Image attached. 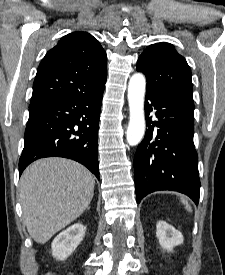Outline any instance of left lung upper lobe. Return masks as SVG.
I'll list each match as a JSON object with an SVG mask.
<instances>
[{"label": "left lung upper lobe", "instance_id": "obj_1", "mask_svg": "<svg viewBox=\"0 0 225 275\" xmlns=\"http://www.w3.org/2000/svg\"><path fill=\"white\" fill-rule=\"evenodd\" d=\"M137 71L145 74L147 88L194 109L191 70L173 45L161 42L148 46L138 59Z\"/></svg>", "mask_w": 225, "mask_h": 275}]
</instances>
